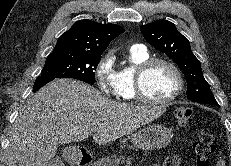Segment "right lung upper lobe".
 Here are the masks:
<instances>
[{
  "instance_id": "cb5924a9",
  "label": "right lung upper lobe",
  "mask_w": 231,
  "mask_h": 166,
  "mask_svg": "<svg viewBox=\"0 0 231 166\" xmlns=\"http://www.w3.org/2000/svg\"><path fill=\"white\" fill-rule=\"evenodd\" d=\"M124 31V28L116 24H101L86 19L79 20L59 37L54 50L67 49L102 55L110 41Z\"/></svg>"
}]
</instances>
